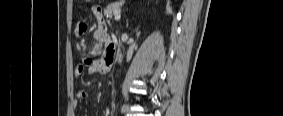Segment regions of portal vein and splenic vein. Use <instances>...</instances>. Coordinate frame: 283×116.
<instances>
[{
    "label": "portal vein and splenic vein",
    "instance_id": "obj_1",
    "mask_svg": "<svg viewBox=\"0 0 283 116\" xmlns=\"http://www.w3.org/2000/svg\"><path fill=\"white\" fill-rule=\"evenodd\" d=\"M120 18H121L120 12H119V11L115 12V17H114V19H115L116 21H119Z\"/></svg>",
    "mask_w": 283,
    "mask_h": 116
}]
</instances>
